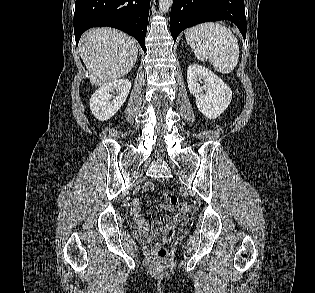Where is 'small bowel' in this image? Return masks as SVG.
Instances as JSON below:
<instances>
[{"instance_id": "1", "label": "small bowel", "mask_w": 315, "mask_h": 293, "mask_svg": "<svg viewBox=\"0 0 315 293\" xmlns=\"http://www.w3.org/2000/svg\"><path fill=\"white\" fill-rule=\"evenodd\" d=\"M153 189V184L148 182L146 184H144L143 186V190L146 192H150ZM161 208L163 210H166L168 215H175L176 210L175 208H171L170 206L162 203ZM130 212L132 215V218L134 219V221L142 228V229H147L148 228V223L147 221L141 216V205H140V201L138 199L134 200L131 208H130ZM185 217V215H183L182 213H179L176 217L177 220H183ZM169 217L167 215H163L160 217V219L156 220L153 223V227L154 229L158 230L160 229L164 224L169 222Z\"/></svg>"}]
</instances>
